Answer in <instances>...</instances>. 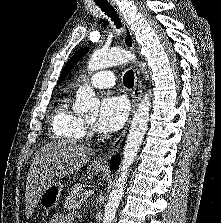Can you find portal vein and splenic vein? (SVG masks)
<instances>
[{
	"mask_svg": "<svg viewBox=\"0 0 221 223\" xmlns=\"http://www.w3.org/2000/svg\"><path fill=\"white\" fill-rule=\"evenodd\" d=\"M84 194H85V197H84V200H85L89 195L92 194V191H87Z\"/></svg>",
	"mask_w": 221,
	"mask_h": 223,
	"instance_id": "obj_1",
	"label": "portal vein and splenic vein"
}]
</instances>
